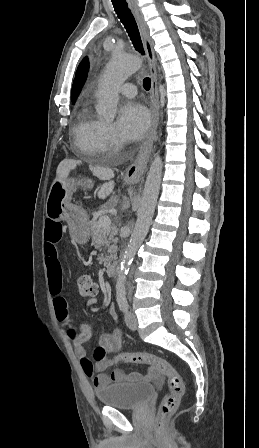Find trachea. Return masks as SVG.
Returning <instances> with one entry per match:
<instances>
[{
    "label": "trachea",
    "mask_w": 259,
    "mask_h": 448,
    "mask_svg": "<svg viewBox=\"0 0 259 448\" xmlns=\"http://www.w3.org/2000/svg\"><path fill=\"white\" fill-rule=\"evenodd\" d=\"M111 1L114 6L115 12L118 15V18H120L121 22L125 26L135 49L137 50V52L141 53V55H145L136 21L131 13V10L127 6L126 0ZM143 87L145 88V90H150L151 80L149 77L144 78Z\"/></svg>",
    "instance_id": "obj_1"
}]
</instances>
